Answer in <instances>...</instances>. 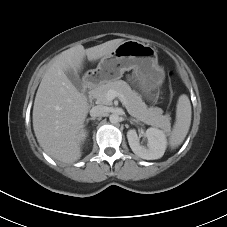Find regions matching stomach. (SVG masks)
Masks as SVG:
<instances>
[{
  "instance_id": "1",
  "label": "stomach",
  "mask_w": 227,
  "mask_h": 227,
  "mask_svg": "<svg viewBox=\"0 0 227 227\" xmlns=\"http://www.w3.org/2000/svg\"><path fill=\"white\" fill-rule=\"evenodd\" d=\"M129 70H133L135 78L149 91L159 90L165 79L164 68L158 64L157 51L137 40L120 43L100 60L96 69L87 71L86 76L103 84L120 79Z\"/></svg>"
}]
</instances>
